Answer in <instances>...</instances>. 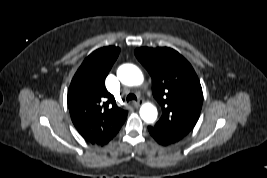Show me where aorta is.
<instances>
[{
	"label": "aorta",
	"mask_w": 267,
	"mask_h": 178,
	"mask_svg": "<svg viewBox=\"0 0 267 178\" xmlns=\"http://www.w3.org/2000/svg\"><path fill=\"white\" fill-rule=\"evenodd\" d=\"M117 77L127 86L140 85L144 80L141 70L133 64L121 65L117 70ZM157 115L156 107L150 103L143 104L140 108V116L147 123H153Z\"/></svg>",
	"instance_id": "762f6f07"
}]
</instances>
